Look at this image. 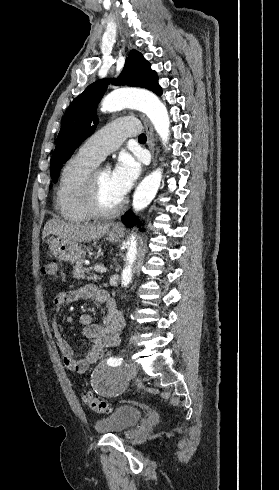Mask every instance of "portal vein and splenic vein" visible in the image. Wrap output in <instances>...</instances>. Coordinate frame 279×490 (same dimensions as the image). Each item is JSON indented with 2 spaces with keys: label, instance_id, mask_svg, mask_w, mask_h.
I'll return each mask as SVG.
<instances>
[{
  "label": "portal vein and splenic vein",
  "instance_id": "18ae733b",
  "mask_svg": "<svg viewBox=\"0 0 279 490\" xmlns=\"http://www.w3.org/2000/svg\"><path fill=\"white\" fill-rule=\"evenodd\" d=\"M95 272H106V268H102V266H94Z\"/></svg>",
  "mask_w": 279,
  "mask_h": 490
}]
</instances>
